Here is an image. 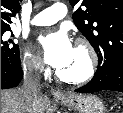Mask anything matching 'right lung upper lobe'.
Instances as JSON below:
<instances>
[{
    "label": "right lung upper lobe",
    "mask_w": 123,
    "mask_h": 113,
    "mask_svg": "<svg viewBox=\"0 0 123 113\" xmlns=\"http://www.w3.org/2000/svg\"><path fill=\"white\" fill-rule=\"evenodd\" d=\"M19 10V0H1V29L10 28V18Z\"/></svg>",
    "instance_id": "1"
}]
</instances>
